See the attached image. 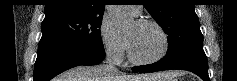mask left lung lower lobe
I'll list each match as a JSON object with an SVG mask.
<instances>
[{"label":"left lung lower lobe","mask_w":237,"mask_h":81,"mask_svg":"<svg viewBox=\"0 0 237 81\" xmlns=\"http://www.w3.org/2000/svg\"><path fill=\"white\" fill-rule=\"evenodd\" d=\"M171 69L188 70L198 75L203 81H210L207 57L203 48L192 50L173 61L166 62L161 59L153 64L132 68L134 72H154Z\"/></svg>","instance_id":"left-lung-lower-lobe-1"}]
</instances>
